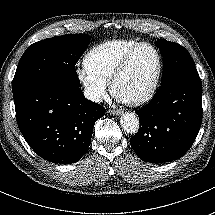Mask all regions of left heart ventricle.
<instances>
[{
    "mask_svg": "<svg viewBox=\"0 0 215 215\" xmlns=\"http://www.w3.org/2000/svg\"><path fill=\"white\" fill-rule=\"evenodd\" d=\"M157 67V57L149 46L139 48L115 86V95L120 100L138 97L146 88Z\"/></svg>",
    "mask_w": 215,
    "mask_h": 215,
    "instance_id": "1",
    "label": "left heart ventricle"
}]
</instances>
